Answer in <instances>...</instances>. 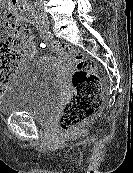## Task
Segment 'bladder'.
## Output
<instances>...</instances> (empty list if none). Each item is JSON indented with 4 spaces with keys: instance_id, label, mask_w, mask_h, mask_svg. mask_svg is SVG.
<instances>
[{
    "instance_id": "31cf9c89",
    "label": "bladder",
    "mask_w": 133,
    "mask_h": 173,
    "mask_svg": "<svg viewBox=\"0 0 133 173\" xmlns=\"http://www.w3.org/2000/svg\"><path fill=\"white\" fill-rule=\"evenodd\" d=\"M64 90L60 73L49 63L33 59L21 63L0 95L3 114L28 113L48 122L55 114Z\"/></svg>"
}]
</instances>
